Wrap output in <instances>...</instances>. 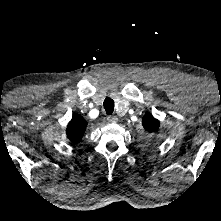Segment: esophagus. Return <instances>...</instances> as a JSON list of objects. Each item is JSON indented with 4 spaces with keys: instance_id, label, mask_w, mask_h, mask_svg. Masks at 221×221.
Returning a JSON list of instances; mask_svg holds the SVG:
<instances>
[{
    "instance_id": "1",
    "label": "esophagus",
    "mask_w": 221,
    "mask_h": 221,
    "mask_svg": "<svg viewBox=\"0 0 221 221\" xmlns=\"http://www.w3.org/2000/svg\"><path fill=\"white\" fill-rule=\"evenodd\" d=\"M107 120L110 122V123H116L118 121V118L117 116L113 115V116H108L107 117Z\"/></svg>"
}]
</instances>
